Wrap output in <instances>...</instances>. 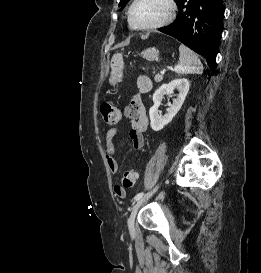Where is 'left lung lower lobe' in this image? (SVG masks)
<instances>
[{"instance_id": "left-lung-lower-lobe-1", "label": "left lung lower lobe", "mask_w": 261, "mask_h": 273, "mask_svg": "<svg viewBox=\"0 0 261 273\" xmlns=\"http://www.w3.org/2000/svg\"><path fill=\"white\" fill-rule=\"evenodd\" d=\"M176 21L159 30L204 56L213 69L223 25L222 0H178Z\"/></svg>"}]
</instances>
